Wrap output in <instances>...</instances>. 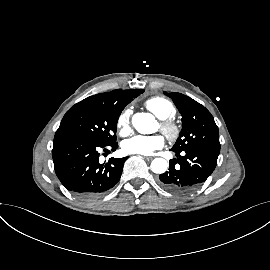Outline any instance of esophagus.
Returning a JSON list of instances; mask_svg holds the SVG:
<instances>
[{"label":"esophagus","mask_w":270,"mask_h":270,"mask_svg":"<svg viewBox=\"0 0 270 270\" xmlns=\"http://www.w3.org/2000/svg\"><path fill=\"white\" fill-rule=\"evenodd\" d=\"M143 158L146 159V160H148V161L153 159V157H151V156H145Z\"/></svg>","instance_id":"1"}]
</instances>
